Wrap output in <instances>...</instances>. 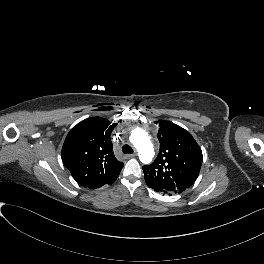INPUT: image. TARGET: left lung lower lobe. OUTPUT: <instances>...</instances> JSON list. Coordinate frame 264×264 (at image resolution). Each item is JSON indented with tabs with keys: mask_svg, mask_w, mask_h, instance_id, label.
Segmentation results:
<instances>
[{
	"mask_svg": "<svg viewBox=\"0 0 264 264\" xmlns=\"http://www.w3.org/2000/svg\"><path fill=\"white\" fill-rule=\"evenodd\" d=\"M147 185H148L150 188H152V189H154L155 191H157V192H160V193H163V194H172V193L167 192V191H165V190H163V189L152 187V186H150L149 184H147Z\"/></svg>",
	"mask_w": 264,
	"mask_h": 264,
	"instance_id": "0a47b994",
	"label": "left lung lower lobe"
}]
</instances>
